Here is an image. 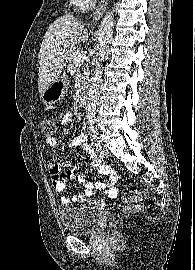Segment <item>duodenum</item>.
Wrapping results in <instances>:
<instances>
[{
	"label": "duodenum",
	"mask_w": 195,
	"mask_h": 270,
	"mask_svg": "<svg viewBox=\"0 0 195 270\" xmlns=\"http://www.w3.org/2000/svg\"><path fill=\"white\" fill-rule=\"evenodd\" d=\"M88 94L87 92L83 93L80 99V103L82 106H85L87 104Z\"/></svg>",
	"instance_id": "duodenum-1"
}]
</instances>
